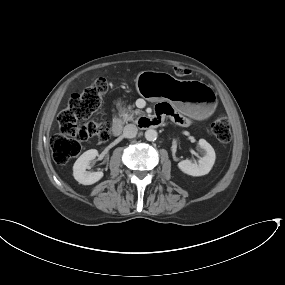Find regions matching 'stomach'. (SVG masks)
Here are the masks:
<instances>
[{"label": "stomach", "mask_w": 285, "mask_h": 285, "mask_svg": "<svg viewBox=\"0 0 285 285\" xmlns=\"http://www.w3.org/2000/svg\"><path fill=\"white\" fill-rule=\"evenodd\" d=\"M138 93L148 101H169L178 111L205 119L216 108L212 88L197 80H179L166 72L142 71L136 78Z\"/></svg>", "instance_id": "0dacf381"}]
</instances>
